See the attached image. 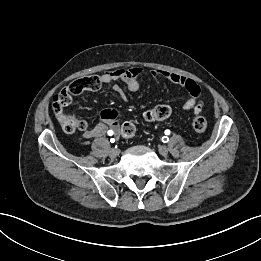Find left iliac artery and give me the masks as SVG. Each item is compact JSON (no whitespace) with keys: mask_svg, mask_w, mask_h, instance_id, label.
I'll return each mask as SVG.
<instances>
[{"mask_svg":"<svg viewBox=\"0 0 261 261\" xmlns=\"http://www.w3.org/2000/svg\"><path fill=\"white\" fill-rule=\"evenodd\" d=\"M165 134H166V135H169V134H170V130H165ZM162 141H163L164 143H167V142L169 141V138H168L167 136H164V137L162 138Z\"/></svg>","mask_w":261,"mask_h":261,"instance_id":"44dca946","label":"left iliac artery"}]
</instances>
